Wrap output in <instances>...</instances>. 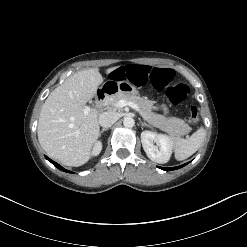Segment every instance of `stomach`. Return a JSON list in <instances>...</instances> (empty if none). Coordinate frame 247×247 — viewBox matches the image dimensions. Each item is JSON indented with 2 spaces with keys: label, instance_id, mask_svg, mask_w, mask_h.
<instances>
[{
  "label": "stomach",
  "instance_id": "stomach-1",
  "mask_svg": "<svg viewBox=\"0 0 247 247\" xmlns=\"http://www.w3.org/2000/svg\"><path fill=\"white\" fill-rule=\"evenodd\" d=\"M121 84H119V88H120V91L122 93H125V94H129V95H138V90L136 89V87L130 83H122V86H120Z\"/></svg>",
  "mask_w": 247,
  "mask_h": 247
}]
</instances>
